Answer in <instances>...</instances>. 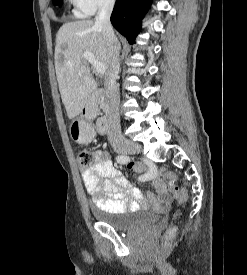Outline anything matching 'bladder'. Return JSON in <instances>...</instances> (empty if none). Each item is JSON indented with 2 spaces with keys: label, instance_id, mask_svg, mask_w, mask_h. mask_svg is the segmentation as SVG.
Wrapping results in <instances>:
<instances>
[{
  "label": "bladder",
  "instance_id": "bladder-1",
  "mask_svg": "<svg viewBox=\"0 0 247 275\" xmlns=\"http://www.w3.org/2000/svg\"><path fill=\"white\" fill-rule=\"evenodd\" d=\"M97 222L116 230H128L137 226H152L158 222V215L142 209L111 212L102 208L90 207Z\"/></svg>",
  "mask_w": 247,
  "mask_h": 275
}]
</instances>
